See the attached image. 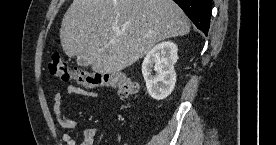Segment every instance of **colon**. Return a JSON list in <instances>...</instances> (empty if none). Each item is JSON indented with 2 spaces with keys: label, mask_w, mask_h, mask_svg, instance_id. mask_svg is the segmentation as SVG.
Masks as SVG:
<instances>
[{
  "label": "colon",
  "mask_w": 276,
  "mask_h": 145,
  "mask_svg": "<svg viewBox=\"0 0 276 145\" xmlns=\"http://www.w3.org/2000/svg\"><path fill=\"white\" fill-rule=\"evenodd\" d=\"M48 72L51 76L63 81L74 80L86 88L109 87L121 97H128L137 92V86L123 72H97L82 68H70L60 55H52L48 61Z\"/></svg>",
  "instance_id": "colon-1"
}]
</instances>
